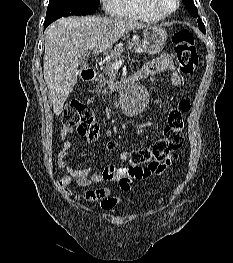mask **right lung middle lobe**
<instances>
[{
	"mask_svg": "<svg viewBox=\"0 0 233 263\" xmlns=\"http://www.w3.org/2000/svg\"><path fill=\"white\" fill-rule=\"evenodd\" d=\"M100 0H50L45 21L53 22L70 15L93 14Z\"/></svg>",
	"mask_w": 233,
	"mask_h": 263,
	"instance_id": "1",
	"label": "right lung middle lobe"
}]
</instances>
